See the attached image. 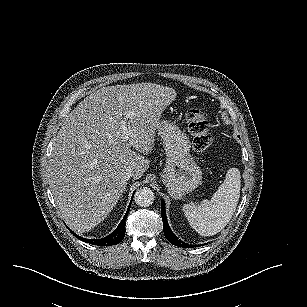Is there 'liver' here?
Wrapping results in <instances>:
<instances>
[{
  "instance_id": "6515ba94",
  "label": "liver",
  "mask_w": 307,
  "mask_h": 307,
  "mask_svg": "<svg viewBox=\"0 0 307 307\" xmlns=\"http://www.w3.org/2000/svg\"><path fill=\"white\" fill-rule=\"evenodd\" d=\"M175 97L173 88L155 83L106 86L69 113L49 160V186L73 232H87L102 221L126 189L127 173L139 179L148 170L150 159L142 154L151 152L161 112ZM125 115L128 141L119 125Z\"/></svg>"
}]
</instances>
